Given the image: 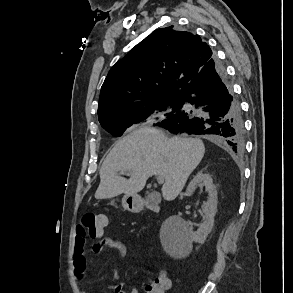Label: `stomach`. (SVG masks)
<instances>
[{"instance_id": "stomach-1", "label": "stomach", "mask_w": 293, "mask_h": 293, "mask_svg": "<svg viewBox=\"0 0 293 293\" xmlns=\"http://www.w3.org/2000/svg\"><path fill=\"white\" fill-rule=\"evenodd\" d=\"M122 205L127 210H132L136 207L137 202L134 197L130 195H125L122 199Z\"/></svg>"}]
</instances>
